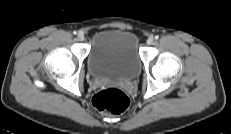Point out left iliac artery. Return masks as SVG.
Returning a JSON list of instances; mask_svg holds the SVG:
<instances>
[{
  "instance_id": "obj_1",
  "label": "left iliac artery",
  "mask_w": 231,
  "mask_h": 134,
  "mask_svg": "<svg viewBox=\"0 0 231 134\" xmlns=\"http://www.w3.org/2000/svg\"><path fill=\"white\" fill-rule=\"evenodd\" d=\"M155 39H156V40H157V39H159V36H158V35H156V36H155Z\"/></svg>"
}]
</instances>
